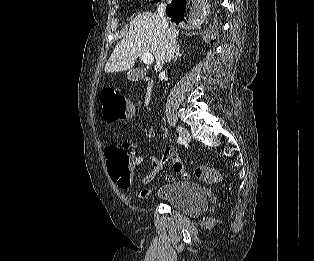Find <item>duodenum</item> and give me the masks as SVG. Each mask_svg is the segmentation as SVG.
<instances>
[{
	"label": "duodenum",
	"mask_w": 314,
	"mask_h": 261,
	"mask_svg": "<svg viewBox=\"0 0 314 261\" xmlns=\"http://www.w3.org/2000/svg\"><path fill=\"white\" fill-rule=\"evenodd\" d=\"M152 91H153V83H152V81H149L148 87H147V92H146V103L150 102L151 96H152Z\"/></svg>",
	"instance_id": "410a0bca"
}]
</instances>
